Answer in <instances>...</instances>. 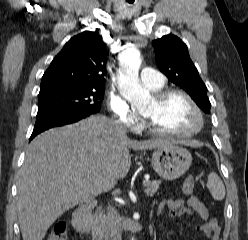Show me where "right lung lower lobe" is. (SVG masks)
<instances>
[{"instance_id":"1","label":"right lung lower lobe","mask_w":248,"mask_h":240,"mask_svg":"<svg viewBox=\"0 0 248 240\" xmlns=\"http://www.w3.org/2000/svg\"><path fill=\"white\" fill-rule=\"evenodd\" d=\"M90 114L88 113H69L64 111H45L38 112L34 130L30 141L39 133L53 127L63 126L77 122Z\"/></svg>"}]
</instances>
